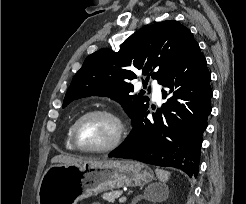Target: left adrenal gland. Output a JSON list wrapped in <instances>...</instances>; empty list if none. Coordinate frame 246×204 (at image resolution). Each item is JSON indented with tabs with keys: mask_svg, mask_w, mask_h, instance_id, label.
Returning a JSON list of instances; mask_svg holds the SVG:
<instances>
[{
	"mask_svg": "<svg viewBox=\"0 0 246 204\" xmlns=\"http://www.w3.org/2000/svg\"><path fill=\"white\" fill-rule=\"evenodd\" d=\"M144 196H142V195H138V196H136L134 199H133V201H132V203L131 204H136V202L137 201H139L141 198H143Z\"/></svg>",
	"mask_w": 246,
	"mask_h": 204,
	"instance_id": "a2214340",
	"label": "left adrenal gland"
}]
</instances>
